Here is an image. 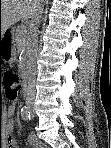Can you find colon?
Masks as SVG:
<instances>
[{
  "mask_svg": "<svg viewBox=\"0 0 111 148\" xmlns=\"http://www.w3.org/2000/svg\"><path fill=\"white\" fill-rule=\"evenodd\" d=\"M0 81L5 89V96L8 100L14 101L19 95V79L18 76L9 70L0 73Z\"/></svg>",
  "mask_w": 111,
  "mask_h": 148,
  "instance_id": "obj_1",
  "label": "colon"
}]
</instances>
